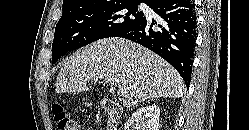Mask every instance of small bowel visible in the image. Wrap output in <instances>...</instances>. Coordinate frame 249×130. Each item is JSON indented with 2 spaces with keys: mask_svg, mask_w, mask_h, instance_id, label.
<instances>
[{
  "mask_svg": "<svg viewBox=\"0 0 249 130\" xmlns=\"http://www.w3.org/2000/svg\"><path fill=\"white\" fill-rule=\"evenodd\" d=\"M86 130H95L94 128H92V127H89V128H87Z\"/></svg>",
  "mask_w": 249,
  "mask_h": 130,
  "instance_id": "obj_1",
  "label": "small bowel"
}]
</instances>
